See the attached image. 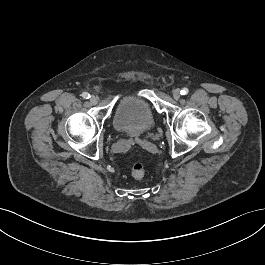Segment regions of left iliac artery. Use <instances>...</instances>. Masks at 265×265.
<instances>
[{
  "mask_svg": "<svg viewBox=\"0 0 265 265\" xmlns=\"http://www.w3.org/2000/svg\"><path fill=\"white\" fill-rule=\"evenodd\" d=\"M180 92H181V95H186L188 93V89L183 88Z\"/></svg>",
  "mask_w": 265,
  "mask_h": 265,
  "instance_id": "obj_1",
  "label": "left iliac artery"
}]
</instances>
